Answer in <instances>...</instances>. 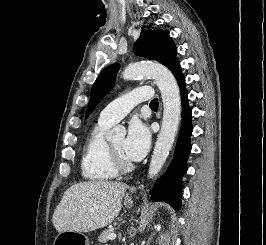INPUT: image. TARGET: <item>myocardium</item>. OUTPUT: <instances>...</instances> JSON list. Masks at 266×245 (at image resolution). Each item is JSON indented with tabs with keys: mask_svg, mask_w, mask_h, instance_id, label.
Listing matches in <instances>:
<instances>
[{
	"mask_svg": "<svg viewBox=\"0 0 266 245\" xmlns=\"http://www.w3.org/2000/svg\"><path fill=\"white\" fill-rule=\"evenodd\" d=\"M107 157L112 168L120 174L129 173L134 169V165L130 162H123L114 152L110 142H107Z\"/></svg>",
	"mask_w": 266,
	"mask_h": 245,
	"instance_id": "f54148a6",
	"label": "myocardium"
}]
</instances>
